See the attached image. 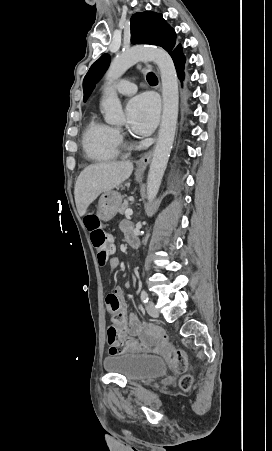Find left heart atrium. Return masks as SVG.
<instances>
[{
    "label": "left heart atrium",
    "instance_id": "1",
    "mask_svg": "<svg viewBox=\"0 0 272 451\" xmlns=\"http://www.w3.org/2000/svg\"><path fill=\"white\" fill-rule=\"evenodd\" d=\"M129 129L138 135H148L154 129L159 105L156 98L150 94H143L133 98L126 109Z\"/></svg>",
    "mask_w": 272,
    "mask_h": 451
}]
</instances>
